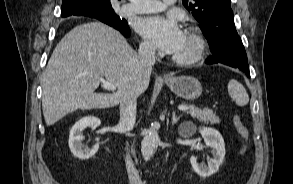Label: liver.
I'll return each mask as SVG.
<instances>
[{
  "label": "liver",
  "mask_w": 293,
  "mask_h": 184,
  "mask_svg": "<svg viewBox=\"0 0 293 184\" xmlns=\"http://www.w3.org/2000/svg\"><path fill=\"white\" fill-rule=\"evenodd\" d=\"M151 73L127 40L101 22L78 25L54 49L42 77V109L47 126L78 109L109 108L127 91L142 94ZM114 84L113 93H95L101 80Z\"/></svg>",
  "instance_id": "1"
}]
</instances>
